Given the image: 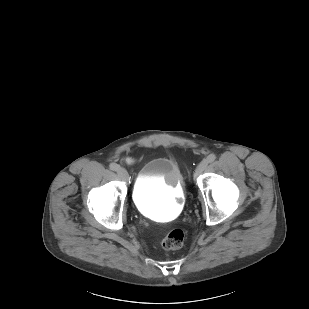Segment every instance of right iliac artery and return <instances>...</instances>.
I'll return each instance as SVG.
<instances>
[{"mask_svg":"<svg viewBox=\"0 0 309 309\" xmlns=\"http://www.w3.org/2000/svg\"><path fill=\"white\" fill-rule=\"evenodd\" d=\"M109 167L113 171H117L119 168V166L116 163H110Z\"/></svg>","mask_w":309,"mask_h":309,"instance_id":"right-iliac-artery-1","label":"right iliac artery"}]
</instances>
